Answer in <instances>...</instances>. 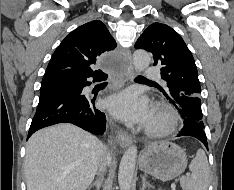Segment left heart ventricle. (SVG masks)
I'll return each mask as SVG.
<instances>
[{
  "instance_id": "b2bd125f",
  "label": "left heart ventricle",
  "mask_w": 234,
  "mask_h": 190,
  "mask_svg": "<svg viewBox=\"0 0 234 190\" xmlns=\"http://www.w3.org/2000/svg\"><path fill=\"white\" fill-rule=\"evenodd\" d=\"M157 121L152 117V119L150 120V124H155Z\"/></svg>"
}]
</instances>
